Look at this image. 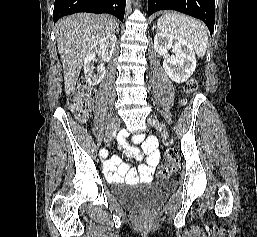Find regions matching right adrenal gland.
<instances>
[{"instance_id": "obj_1", "label": "right adrenal gland", "mask_w": 257, "mask_h": 237, "mask_svg": "<svg viewBox=\"0 0 257 237\" xmlns=\"http://www.w3.org/2000/svg\"><path fill=\"white\" fill-rule=\"evenodd\" d=\"M116 32L119 33V28H117Z\"/></svg>"}]
</instances>
